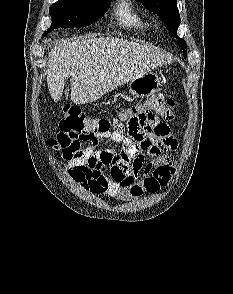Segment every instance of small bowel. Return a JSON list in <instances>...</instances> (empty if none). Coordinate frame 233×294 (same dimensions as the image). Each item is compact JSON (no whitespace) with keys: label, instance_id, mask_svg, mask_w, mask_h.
<instances>
[{"label":"small bowel","instance_id":"small-bowel-1","mask_svg":"<svg viewBox=\"0 0 233 294\" xmlns=\"http://www.w3.org/2000/svg\"><path fill=\"white\" fill-rule=\"evenodd\" d=\"M126 112L133 114H125L128 120H120L126 128L125 136L113 133L108 138L118 143L120 149H91L88 155L75 157L65 165L67 175L82 189L122 201L166 186L176 165L169 152L178 146L161 110L127 108ZM48 144L52 147V139ZM145 154L151 158L146 160ZM106 166L111 168L108 176L103 173Z\"/></svg>","mask_w":233,"mask_h":294}]
</instances>
